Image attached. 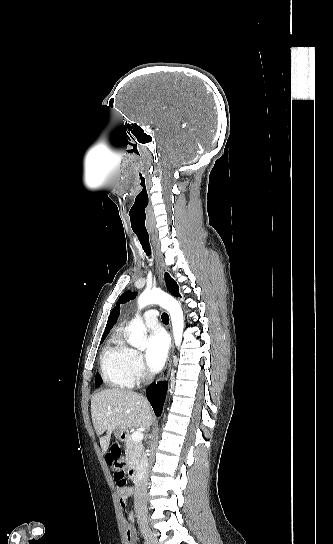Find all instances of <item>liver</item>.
Segmentation results:
<instances>
[{"label":"liver","mask_w":333,"mask_h":544,"mask_svg":"<svg viewBox=\"0 0 333 544\" xmlns=\"http://www.w3.org/2000/svg\"><path fill=\"white\" fill-rule=\"evenodd\" d=\"M91 415L97 435L107 432L99 438L103 454L108 451L113 430L148 428L154 420L146 398L123 389H107L94 394L91 398Z\"/></svg>","instance_id":"6515ba94"}]
</instances>
